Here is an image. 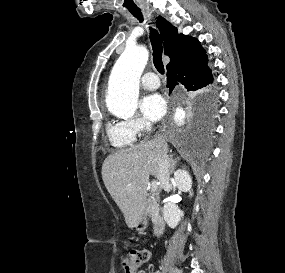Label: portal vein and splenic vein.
I'll return each instance as SVG.
<instances>
[{
	"label": "portal vein and splenic vein",
	"mask_w": 285,
	"mask_h": 273,
	"mask_svg": "<svg viewBox=\"0 0 285 273\" xmlns=\"http://www.w3.org/2000/svg\"><path fill=\"white\" fill-rule=\"evenodd\" d=\"M158 184H159V183H158L157 181H153V182H152V185H151L152 191L157 190Z\"/></svg>",
	"instance_id": "18ae733b"
}]
</instances>
